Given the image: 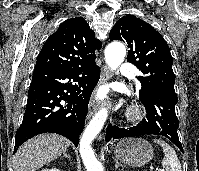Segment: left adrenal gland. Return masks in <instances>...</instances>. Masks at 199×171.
<instances>
[{
    "label": "left adrenal gland",
    "mask_w": 199,
    "mask_h": 171,
    "mask_svg": "<svg viewBox=\"0 0 199 171\" xmlns=\"http://www.w3.org/2000/svg\"><path fill=\"white\" fill-rule=\"evenodd\" d=\"M119 167H123V165H121L117 159H115V169L119 168Z\"/></svg>",
    "instance_id": "1"
}]
</instances>
